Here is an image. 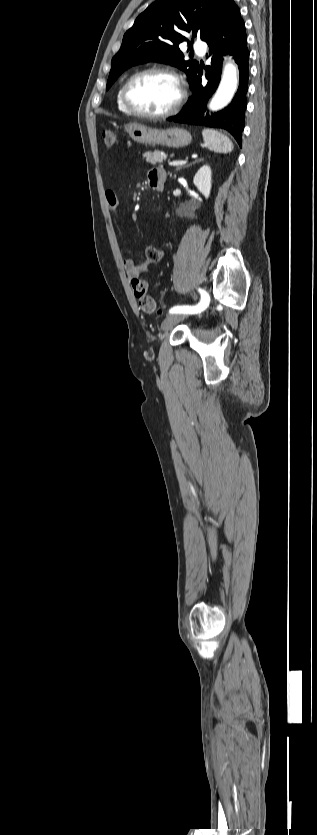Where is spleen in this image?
I'll list each match as a JSON object with an SVG mask.
<instances>
[{"mask_svg":"<svg viewBox=\"0 0 317 835\" xmlns=\"http://www.w3.org/2000/svg\"><path fill=\"white\" fill-rule=\"evenodd\" d=\"M202 137L205 146L213 152L229 153L233 150V143L231 140L217 130L204 129L202 131Z\"/></svg>","mask_w":317,"mask_h":835,"instance_id":"1","label":"spleen"}]
</instances>
